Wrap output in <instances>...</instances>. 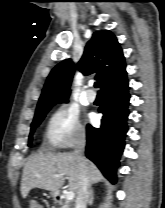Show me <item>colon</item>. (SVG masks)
Returning a JSON list of instances; mask_svg holds the SVG:
<instances>
[{
    "instance_id": "5ec220e1",
    "label": "colon",
    "mask_w": 165,
    "mask_h": 208,
    "mask_svg": "<svg viewBox=\"0 0 165 208\" xmlns=\"http://www.w3.org/2000/svg\"><path fill=\"white\" fill-rule=\"evenodd\" d=\"M29 208H43V206L36 200H31L29 203Z\"/></svg>"
}]
</instances>
